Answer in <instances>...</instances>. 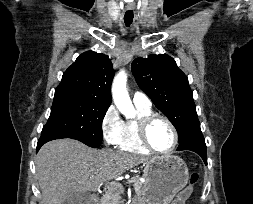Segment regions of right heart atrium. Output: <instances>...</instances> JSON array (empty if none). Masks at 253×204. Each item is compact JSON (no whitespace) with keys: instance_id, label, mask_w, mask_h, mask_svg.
<instances>
[{"instance_id":"obj_1","label":"right heart atrium","mask_w":253,"mask_h":204,"mask_svg":"<svg viewBox=\"0 0 253 204\" xmlns=\"http://www.w3.org/2000/svg\"><path fill=\"white\" fill-rule=\"evenodd\" d=\"M124 121L117 109L109 106L101 119V133L108 145H118L123 131Z\"/></svg>"}]
</instances>
